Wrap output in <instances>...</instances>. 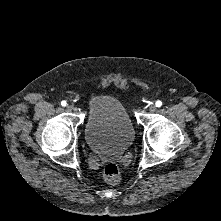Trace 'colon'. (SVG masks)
Returning <instances> with one entry per match:
<instances>
[{
	"label": "colon",
	"mask_w": 221,
	"mask_h": 221,
	"mask_svg": "<svg viewBox=\"0 0 221 221\" xmlns=\"http://www.w3.org/2000/svg\"><path fill=\"white\" fill-rule=\"evenodd\" d=\"M102 175L105 181L111 184H116L120 181V168L114 161L107 162L102 170Z\"/></svg>",
	"instance_id": "5ec220e1"
}]
</instances>
